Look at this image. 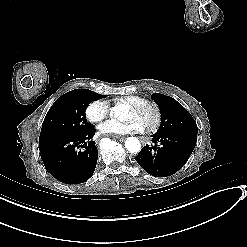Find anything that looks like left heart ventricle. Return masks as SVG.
<instances>
[{
  "label": "left heart ventricle",
  "instance_id": "1",
  "mask_svg": "<svg viewBox=\"0 0 247 247\" xmlns=\"http://www.w3.org/2000/svg\"><path fill=\"white\" fill-rule=\"evenodd\" d=\"M127 120H137L142 130L146 132L151 128L154 122V112L149 107L138 113L128 108Z\"/></svg>",
  "mask_w": 247,
  "mask_h": 247
}]
</instances>
